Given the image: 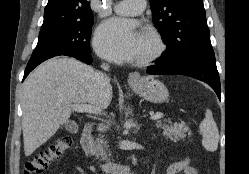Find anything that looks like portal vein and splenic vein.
Returning a JSON list of instances; mask_svg holds the SVG:
<instances>
[{"instance_id": "obj_1", "label": "portal vein and splenic vein", "mask_w": 249, "mask_h": 174, "mask_svg": "<svg viewBox=\"0 0 249 174\" xmlns=\"http://www.w3.org/2000/svg\"><path fill=\"white\" fill-rule=\"evenodd\" d=\"M72 109L77 113L101 114V110L89 104H73ZM163 113L152 114L150 119L158 120L163 118Z\"/></svg>"}]
</instances>
